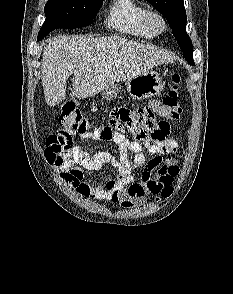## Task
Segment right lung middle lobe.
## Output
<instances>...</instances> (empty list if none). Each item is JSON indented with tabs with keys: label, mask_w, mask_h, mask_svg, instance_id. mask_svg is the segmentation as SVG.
<instances>
[{
	"label": "right lung middle lobe",
	"mask_w": 233,
	"mask_h": 294,
	"mask_svg": "<svg viewBox=\"0 0 233 294\" xmlns=\"http://www.w3.org/2000/svg\"><path fill=\"white\" fill-rule=\"evenodd\" d=\"M104 0H48L44 7L46 20L38 40L58 28H81L92 23Z\"/></svg>",
	"instance_id": "right-lung-middle-lobe-1"
}]
</instances>
